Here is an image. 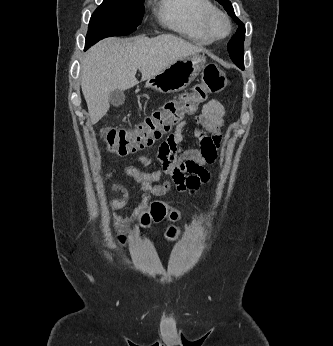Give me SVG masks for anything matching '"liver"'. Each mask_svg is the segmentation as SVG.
I'll return each instance as SVG.
<instances>
[{"instance_id":"6515ba94","label":"liver","mask_w":333,"mask_h":346,"mask_svg":"<svg viewBox=\"0 0 333 346\" xmlns=\"http://www.w3.org/2000/svg\"><path fill=\"white\" fill-rule=\"evenodd\" d=\"M204 49L170 34L155 38H107L85 53L81 61V88L91 123L96 124L109 110V94L127 90L157 75L179 59Z\"/></svg>"}]
</instances>
